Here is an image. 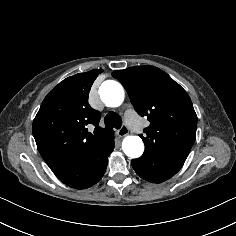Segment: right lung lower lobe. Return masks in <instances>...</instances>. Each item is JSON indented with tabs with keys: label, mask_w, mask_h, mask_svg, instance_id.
I'll list each match as a JSON object with an SVG mask.
<instances>
[{
	"label": "right lung lower lobe",
	"mask_w": 236,
	"mask_h": 236,
	"mask_svg": "<svg viewBox=\"0 0 236 236\" xmlns=\"http://www.w3.org/2000/svg\"><path fill=\"white\" fill-rule=\"evenodd\" d=\"M114 149V139L94 152L85 162L52 170L66 185L85 189L96 184L105 173L107 158Z\"/></svg>",
	"instance_id": "98d812e1"
}]
</instances>
